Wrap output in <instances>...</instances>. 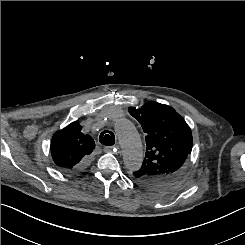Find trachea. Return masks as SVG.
<instances>
[{
	"label": "trachea",
	"mask_w": 245,
	"mask_h": 245,
	"mask_svg": "<svg viewBox=\"0 0 245 245\" xmlns=\"http://www.w3.org/2000/svg\"><path fill=\"white\" fill-rule=\"evenodd\" d=\"M99 141L103 145L112 146L115 144V136L111 131L106 130L100 134Z\"/></svg>",
	"instance_id": "obj_1"
}]
</instances>
